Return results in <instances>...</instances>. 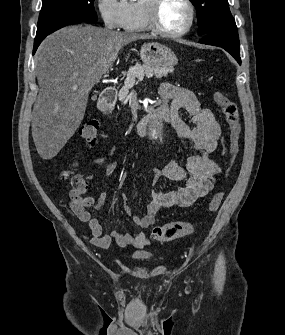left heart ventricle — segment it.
I'll list each match as a JSON object with an SVG mask.
<instances>
[{
  "instance_id": "1",
  "label": "left heart ventricle",
  "mask_w": 285,
  "mask_h": 335,
  "mask_svg": "<svg viewBox=\"0 0 285 335\" xmlns=\"http://www.w3.org/2000/svg\"><path fill=\"white\" fill-rule=\"evenodd\" d=\"M189 18L187 7L179 1H166L161 9V22L163 26L171 31L181 29L186 25Z\"/></svg>"
}]
</instances>
